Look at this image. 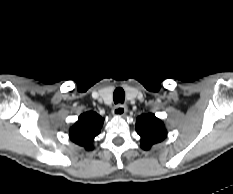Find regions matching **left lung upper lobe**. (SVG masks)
Returning <instances> with one entry per match:
<instances>
[{
    "instance_id": "left-lung-upper-lobe-1",
    "label": "left lung upper lobe",
    "mask_w": 233,
    "mask_h": 194,
    "mask_svg": "<svg viewBox=\"0 0 233 194\" xmlns=\"http://www.w3.org/2000/svg\"><path fill=\"white\" fill-rule=\"evenodd\" d=\"M136 131L141 137V147L144 150H149L153 144L161 142L167 136L164 124L152 113L137 118Z\"/></svg>"
}]
</instances>
